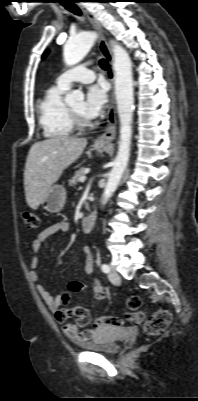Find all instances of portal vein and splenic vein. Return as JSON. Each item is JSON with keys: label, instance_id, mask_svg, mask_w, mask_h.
Returning a JSON list of instances; mask_svg holds the SVG:
<instances>
[{"label": "portal vein and splenic vein", "instance_id": "portal-vein-and-splenic-vein-1", "mask_svg": "<svg viewBox=\"0 0 198 401\" xmlns=\"http://www.w3.org/2000/svg\"><path fill=\"white\" fill-rule=\"evenodd\" d=\"M85 180H86V176H82V177L80 178V182H81V183L85 182Z\"/></svg>", "mask_w": 198, "mask_h": 401}]
</instances>
